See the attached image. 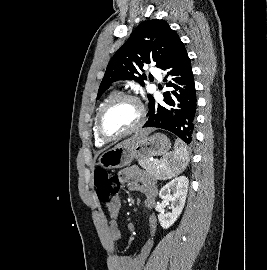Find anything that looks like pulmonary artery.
<instances>
[{
	"label": "pulmonary artery",
	"instance_id": "obj_1",
	"mask_svg": "<svg viewBox=\"0 0 267 270\" xmlns=\"http://www.w3.org/2000/svg\"><path fill=\"white\" fill-rule=\"evenodd\" d=\"M151 72H152L154 75H156V76H158L159 78H161L160 72L158 71V69L152 68V69H151Z\"/></svg>",
	"mask_w": 267,
	"mask_h": 270
}]
</instances>
